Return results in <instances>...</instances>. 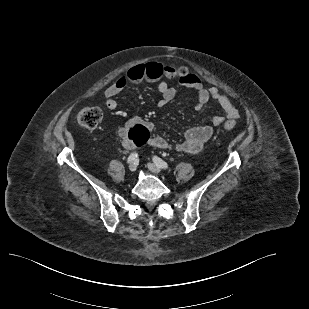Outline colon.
Listing matches in <instances>:
<instances>
[{"label": "colon", "instance_id": "obj_1", "mask_svg": "<svg viewBox=\"0 0 309 309\" xmlns=\"http://www.w3.org/2000/svg\"><path fill=\"white\" fill-rule=\"evenodd\" d=\"M174 74L180 79H185L189 76L185 67L180 66L173 69ZM102 118V112L97 106H88L82 108L78 115V123L87 130H94L97 128ZM225 130H232L235 128V122L226 121L223 124ZM129 138L134 143L135 147L145 145L149 138V131L143 125H135L129 129Z\"/></svg>", "mask_w": 309, "mask_h": 309}]
</instances>
